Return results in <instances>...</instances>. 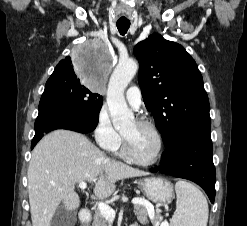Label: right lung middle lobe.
Here are the masks:
<instances>
[{"mask_svg": "<svg viewBox=\"0 0 247 226\" xmlns=\"http://www.w3.org/2000/svg\"><path fill=\"white\" fill-rule=\"evenodd\" d=\"M76 70H72L70 63L55 69L45 85L41 99L53 98L82 113L99 119L103 99L92 89H85L80 85V78H76Z\"/></svg>", "mask_w": 247, "mask_h": 226, "instance_id": "dd1d6c3e", "label": "right lung middle lobe"}]
</instances>
